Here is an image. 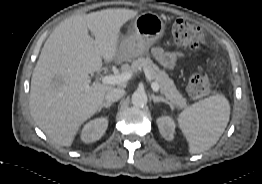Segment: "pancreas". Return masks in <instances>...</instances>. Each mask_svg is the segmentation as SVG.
Instances as JSON below:
<instances>
[{
  "label": "pancreas",
  "mask_w": 262,
  "mask_h": 184,
  "mask_svg": "<svg viewBox=\"0 0 262 184\" xmlns=\"http://www.w3.org/2000/svg\"><path fill=\"white\" fill-rule=\"evenodd\" d=\"M131 69L134 71L145 70L149 73L151 78L159 84L161 93L170 101L171 105L179 108L187 106L186 99L176 89L173 80L169 78L165 71H162L155 65L152 60L147 57H139L134 60L131 65ZM123 71H128L127 66L122 67Z\"/></svg>",
  "instance_id": "cf45deb5"
}]
</instances>
